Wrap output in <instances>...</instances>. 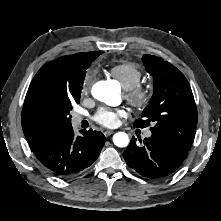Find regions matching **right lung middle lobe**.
<instances>
[{"mask_svg": "<svg viewBox=\"0 0 221 221\" xmlns=\"http://www.w3.org/2000/svg\"><path fill=\"white\" fill-rule=\"evenodd\" d=\"M92 62L93 61H91V63ZM80 95H81V93L77 94L73 98H64V99L56 102L53 105V108H52V111H53L54 115L58 119L66 122L68 124H71V116L69 115L70 110L72 109V104L73 103H75V102L79 103Z\"/></svg>", "mask_w": 221, "mask_h": 221, "instance_id": "1", "label": "right lung middle lobe"}]
</instances>
